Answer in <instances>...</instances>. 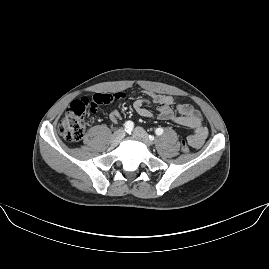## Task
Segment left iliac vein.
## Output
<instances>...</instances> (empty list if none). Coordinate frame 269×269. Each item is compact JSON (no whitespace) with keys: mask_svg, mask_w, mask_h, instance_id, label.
<instances>
[{"mask_svg":"<svg viewBox=\"0 0 269 269\" xmlns=\"http://www.w3.org/2000/svg\"><path fill=\"white\" fill-rule=\"evenodd\" d=\"M133 135L136 139L144 142L147 147L152 146V141L150 140L149 136L147 135L146 131L143 128L136 127L134 129Z\"/></svg>","mask_w":269,"mask_h":269,"instance_id":"1","label":"left iliac vein"}]
</instances>
